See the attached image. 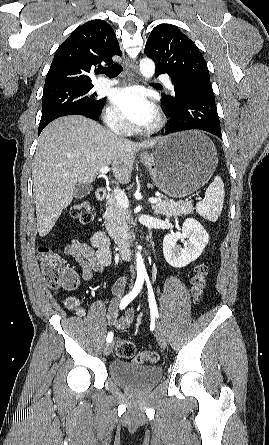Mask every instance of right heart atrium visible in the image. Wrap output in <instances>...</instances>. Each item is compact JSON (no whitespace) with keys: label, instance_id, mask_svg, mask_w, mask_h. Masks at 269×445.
I'll list each match as a JSON object with an SVG mask.
<instances>
[{"label":"right heart atrium","instance_id":"right-heart-atrium-1","mask_svg":"<svg viewBox=\"0 0 269 445\" xmlns=\"http://www.w3.org/2000/svg\"><path fill=\"white\" fill-rule=\"evenodd\" d=\"M107 126L114 132L124 133L129 130V124L120 112L113 106H108L104 112Z\"/></svg>","mask_w":269,"mask_h":445}]
</instances>
